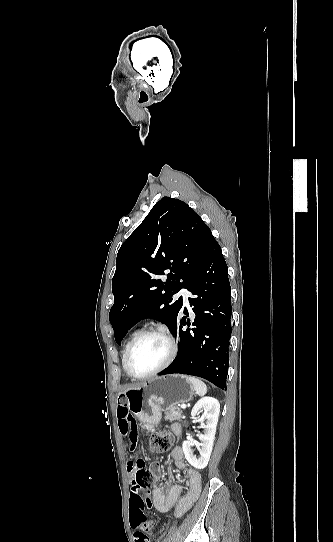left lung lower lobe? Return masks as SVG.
Masks as SVG:
<instances>
[{
  "instance_id": "obj_1",
  "label": "left lung lower lobe",
  "mask_w": 333,
  "mask_h": 542,
  "mask_svg": "<svg viewBox=\"0 0 333 542\" xmlns=\"http://www.w3.org/2000/svg\"><path fill=\"white\" fill-rule=\"evenodd\" d=\"M187 290L195 295L189 298L196 315L192 323L195 327L183 328L190 325L185 308L187 316L178 320L172 330L180 341L177 356L158 375L181 373L199 376L225 390L231 337V287L226 262L214 238Z\"/></svg>"
}]
</instances>
